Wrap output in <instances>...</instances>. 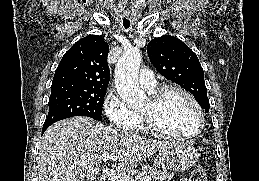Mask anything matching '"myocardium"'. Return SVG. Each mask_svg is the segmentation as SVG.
Segmentation results:
<instances>
[{
	"label": "myocardium",
	"instance_id": "obj_1",
	"mask_svg": "<svg viewBox=\"0 0 259 181\" xmlns=\"http://www.w3.org/2000/svg\"><path fill=\"white\" fill-rule=\"evenodd\" d=\"M171 92H178L184 95L195 107L199 117V124L195 131L191 133L180 134V133H175V132L165 130L156 124L154 119L155 109L160 105L164 97ZM149 102H150V108L147 111L140 112L144 126L148 132L155 135L174 138V139H190L198 136L203 131L204 125H205L204 111L201 105L199 104V102L197 101V99L186 89L177 85L161 86L150 93Z\"/></svg>",
	"mask_w": 259,
	"mask_h": 181
}]
</instances>
